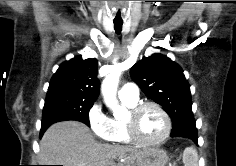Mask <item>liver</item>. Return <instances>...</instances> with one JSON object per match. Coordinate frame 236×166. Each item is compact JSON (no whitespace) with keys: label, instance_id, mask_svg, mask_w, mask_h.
<instances>
[{"label":"liver","instance_id":"1","mask_svg":"<svg viewBox=\"0 0 236 166\" xmlns=\"http://www.w3.org/2000/svg\"><path fill=\"white\" fill-rule=\"evenodd\" d=\"M143 151L130 147L97 142L90 129L77 121L51 125L40 141L39 163L63 166H116L122 159L125 165L140 160Z\"/></svg>","mask_w":236,"mask_h":166}]
</instances>
